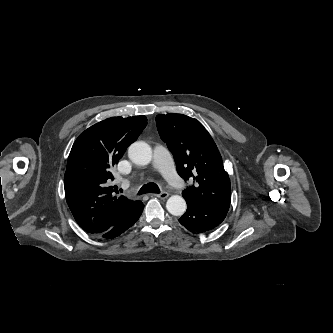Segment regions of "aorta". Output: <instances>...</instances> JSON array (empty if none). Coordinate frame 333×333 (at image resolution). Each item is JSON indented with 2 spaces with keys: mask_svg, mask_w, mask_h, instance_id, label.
Returning <instances> with one entry per match:
<instances>
[{
  "mask_svg": "<svg viewBox=\"0 0 333 333\" xmlns=\"http://www.w3.org/2000/svg\"><path fill=\"white\" fill-rule=\"evenodd\" d=\"M128 157L137 165H148L152 160V149L147 143L137 141L128 148ZM166 208L170 214L181 216L186 211L187 205L183 197L172 195L167 200Z\"/></svg>",
  "mask_w": 333,
  "mask_h": 333,
  "instance_id": "obj_1",
  "label": "aorta"
}]
</instances>
